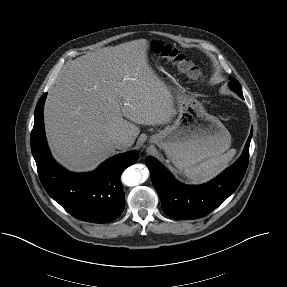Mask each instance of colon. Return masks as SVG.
Returning <instances> with one entry per match:
<instances>
[{
  "label": "colon",
  "mask_w": 287,
  "mask_h": 287,
  "mask_svg": "<svg viewBox=\"0 0 287 287\" xmlns=\"http://www.w3.org/2000/svg\"><path fill=\"white\" fill-rule=\"evenodd\" d=\"M152 50L172 61L177 67L185 72L192 79L200 80L203 78L200 68L188 56L180 52L170 44L155 41L151 45Z\"/></svg>",
  "instance_id": "5ec220e1"
}]
</instances>
